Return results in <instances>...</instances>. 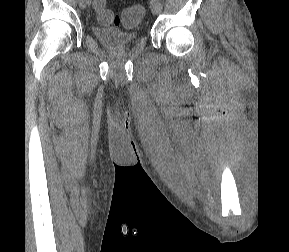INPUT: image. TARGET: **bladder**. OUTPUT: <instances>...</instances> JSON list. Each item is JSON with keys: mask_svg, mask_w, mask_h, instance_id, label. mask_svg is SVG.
Returning <instances> with one entry per match:
<instances>
[{"mask_svg": "<svg viewBox=\"0 0 289 252\" xmlns=\"http://www.w3.org/2000/svg\"><path fill=\"white\" fill-rule=\"evenodd\" d=\"M95 37L109 47H123L135 43L139 37L137 31H122L112 27L93 26Z\"/></svg>", "mask_w": 289, "mask_h": 252, "instance_id": "bladder-1", "label": "bladder"}]
</instances>
